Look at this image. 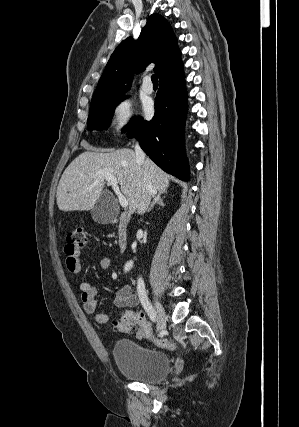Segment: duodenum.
<instances>
[{"instance_id":"410a0bca","label":"duodenum","mask_w":299,"mask_h":427,"mask_svg":"<svg viewBox=\"0 0 299 427\" xmlns=\"http://www.w3.org/2000/svg\"><path fill=\"white\" fill-rule=\"evenodd\" d=\"M129 213L122 212L118 218V230H117V242L118 248L121 252L125 251L128 244V224H129Z\"/></svg>"}]
</instances>
